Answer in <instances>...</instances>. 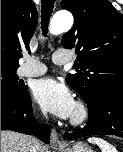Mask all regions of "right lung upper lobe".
<instances>
[{"mask_svg": "<svg viewBox=\"0 0 123 152\" xmlns=\"http://www.w3.org/2000/svg\"><path fill=\"white\" fill-rule=\"evenodd\" d=\"M37 21L31 0H1V67H19L20 52L29 47Z\"/></svg>", "mask_w": 123, "mask_h": 152, "instance_id": "right-lung-upper-lobe-1", "label": "right lung upper lobe"}]
</instances>
